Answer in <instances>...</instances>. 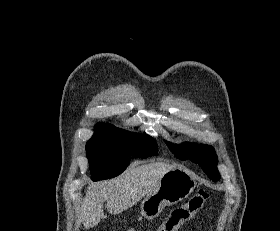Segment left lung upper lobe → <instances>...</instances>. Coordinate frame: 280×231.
I'll use <instances>...</instances> for the list:
<instances>
[{
    "mask_svg": "<svg viewBox=\"0 0 280 231\" xmlns=\"http://www.w3.org/2000/svg\"><path fill=\"white\" fill-rule=\"evenodd\" d=\"M170 150L180 159L189 158L195 163H199L203 171L214 181L220 179L217 169V155L213 147L209 145L183 144L181 146L174 145L165 141Z\"/></svg>",
    "mask_w": 280,
    "mask_h": 231,
    "instance_id": "1",
    "label": "left lung upper lobe"
}]
</instances>
